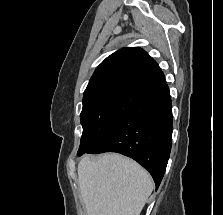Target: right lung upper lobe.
Returning <instances> with one entry per match:
<instances>
[{
  "mask_svg": "<svg viewBox=\"0 0 223 215\" xmlns=\"http://www.w3.org/2000/svg\"><path fill=\"white\" fill-rule=\"evenodd\" d=\"M158 64L141 48H122L107 57L95 70L83 102L97 95L127 90L142 96L166 86Z\"/></svg>",
  "mask_w": 223,
  "mask_h": 215,
  "instance_id": "1",
  "label": "right lung upper lobe"
}]
</instances>
